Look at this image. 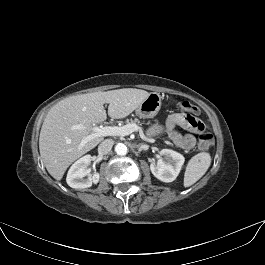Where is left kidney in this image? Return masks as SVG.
Returning a JSON list of instances; mask_svg holds the SVG:
<instances>
[{
  "instance_id": "left-kidney-1",
  "label": "left kidney",
  "mask_w": 265,
  "mask_h": 265,
  "mask_svg": "<svg viewBox=\"0 0 265 265\" xmlns=\"http://www.w3.org/2000/svg\"><path fill=\"white\" fill-rule=\"evenodd\" d=\"M159 154L157 164L150 165L152 174L166 183L174 181L184 164V156L171 149H162Z\"/></svg>"
}]
</instances>
